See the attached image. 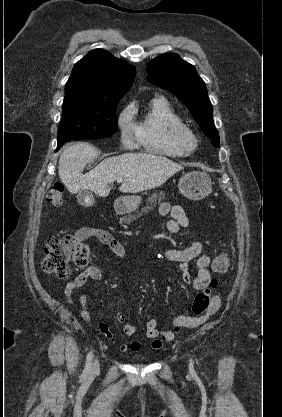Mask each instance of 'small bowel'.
Instances as JSON below:
<instances>
[{
	"mask_svg": "<svg viewBox=\"0 0 282 417\" xmlns=\"http://www.w3.org/2000/svg\"><path fill=\"white\" fill-rule=\"evenodd\" d=\"M161 216H170L171 219L167 222V230L172 234H179L183 229L189 225V219L183 207L168 201L163 202L159 207ZM75 238L83 241L89 238H95L105 246L119 259H123L126 255L127 244L125 241L114 237L105 229L95 226H83L76 230ZM159 252L161 256L171 262L178 264V269L181 279L185 284L191 285L194 289L201 291L208 287L211 282V275L209 271L212 259L208 255L201 254L202 243L199 240H194L189 246L184 248H170L164 245H159ZM193 262L196 274L190 272V263ZM104 279L103 271L97 266H90L83 272L78 274L73 280L69 281L64 287V294L68 305H73V293L83 287L87 281L93 280L100 282ZM82 306L83 317H88L87 311V296L81 295L79 298ZM221 304L219 295H214L211 300L210 307L204 315L201 316H187L177 315L172 320V330H165L159 326L155 318H150L145 322V336L151 340H173L178 334L186 329L195 328L203 324L210 316L217 312ZM116 319L123 324V331L127 336H133L137 333V327L130 323H125L126 314L123 311L116 313ZM98 330L109 340L113 339V334L110 332L108 326L100 322L98 323ZM142 344L139 340L132 339L120 344V351L122 353H137L141 350Z\"/></svg>",
	"mask_w": 282,
	"mask_h": 417,
	"instance_id": "small-bowel-1",
	"label": "small bowel"
}]
</instances>
